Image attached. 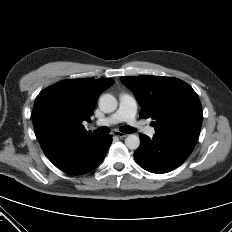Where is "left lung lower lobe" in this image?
<instances>
[{"instance_id": "0a47b994", "label": "left lung lower lobe", "mask_w": 232, "mask_h": 232, "mask_svg": "<svg viewBox=\"0 0 232 232\" xmlns=\"http://www.w3.org/2000/svg\"><path fill=\"white\" fill-rule=\"evenodd\" d=\"M199 135L188 133L140 135L134 158L143 169L157 174L179 167L192 153Z\"/></svg>"}]
</instances>
